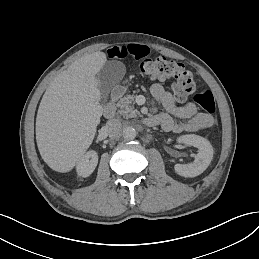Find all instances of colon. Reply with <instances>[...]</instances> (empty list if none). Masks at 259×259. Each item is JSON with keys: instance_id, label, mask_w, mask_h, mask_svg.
Wrapping results in <instances>:
<instances>
[{"instance_id": "1", "label": "colon", "mask_w": 259, "mask_h": 259, "mask_svg": "<svg viewBox=\"0 0 259 259\" xmlns=\"http://www.w3.org/2000/svg\"><path fill=\"white\" fill-rule=\"evenodd\" d=\"M144 74L158 80H172L175 96L184 100L194 92L196 85L190 71L185 66L165 57H157L145 60L141 64ZM194 101L208 114H213L216 109L213 94L208 91H199L194 96Z\"/></svg>"}]
</instances>
